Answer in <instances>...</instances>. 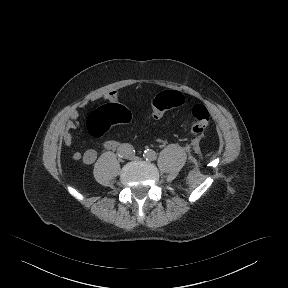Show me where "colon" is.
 <instances>
[{
  "label": "colon",
  "mask_w": 288,
  "mask_h": 288,
  "mask_svg": "<svg viewBox=\"0 0 288 288\" xmlns=\"http://www.w3.org/2000/svg\"><path fill=\"white\" fill-rule=\"evenodd\" d=\"M183 104V97L178 92H165L156 98L152 106V116L160 119L163 115ZM130 119L128 110L118 104H107L97 107L89 116L87 128L93 138L102 137L112 126L126 123ZM209 123V114L203 107L193 111V122L190 131L194 135H201ZM92 154L91 150L84 153L87 160Z\"/></svg>",
  "instance_id": "obj_1"
}]
</instances>
